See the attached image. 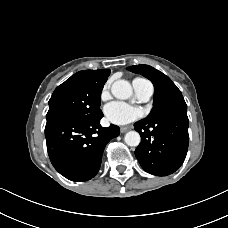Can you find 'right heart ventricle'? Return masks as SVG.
Returning <instances> with one entry per match:
<instances>
[{
  "mask_svg": "<svg viewBox=\"0 0 228 228\" xmlns=\"http://www.w3.org/2000/svg\"><path fill=\"white\" fill-rule=\"evenodd\" d=\"M134 81H145L144 79H141V78H136Z\"/></svg>",
  "mask_w": 228,
  "mask_h": 228,
  "instance_id": "right-heart-ventricle-1",
  "label": "right heart ventricle"
}]
</instances>
